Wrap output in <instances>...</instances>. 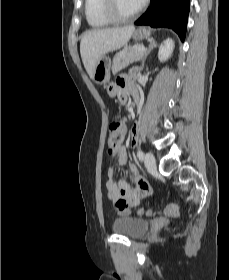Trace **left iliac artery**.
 Wrapping results in <instances>:
<instances>
[{
    "label": "left iliac artery",
    "instance_id": "left-iliac-artery-1",
    "mask_svg": "<svg viewBox=\"0 0 229 280\" xmlns=\"http://www.w3.org/2000/svg\"><path fill=\"white\" fill-rule=\"evenodd\" d=\"M137 156L142 161L144 159V152L142 150H139L137 152Z\"/></svg>",
    "mask_w": 229,
    "mask_h": 280
}]
</instances>
